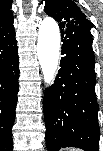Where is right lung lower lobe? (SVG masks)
Here are the masks:
<instances>
[{
	"label": "right lung lower lobe",
	"instance_id": "obj_1",
	"mask_svg": "<svg viewBox=\"0 0 103 151\" xmlns=\"http://www.w3.org/2000/svg\"><path fill=\"white\" fill-rule=\"evenodd\" d=\"M19 57L14 27L0 33V149L12 150V126L19 90Z\"/></svg>",
	"mask_w": 103,
	"mask_h": 151
}]
</instances>
